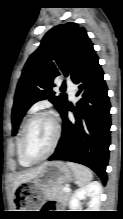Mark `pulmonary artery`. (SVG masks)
I'll return each instance as SVG.
<instances>
[{
    "instance_id": "e3ab8cb5",
    "label": "pulmonary artery",
    "mask_w": 123,
    "mask_h": 219,
    "mask_svg": "<svg viewBox=\"0 0 123 219\" xmlns=\"http://www.w3.org/2000/svg\"><path fill=\"white\" fill-rule=\"evenodd\" d=\"M66 86H67L70 98H74L75 91H76L75 85L71 81H66Z\"/></svg>"
}]
</instances>
